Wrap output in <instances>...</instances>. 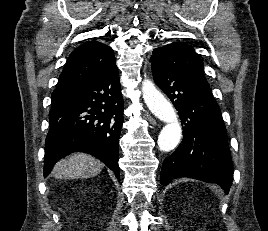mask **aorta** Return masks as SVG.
<instances>
[{
  "mask_svg": "<svg viewBox=\"0 0 268 231\" xmlns=\"http://www.w3.org/2000/svg\"><path fill=\"white\" fill-rule=\"evenodd\" d=\"M144 101L149 110L166 125L161 130L158 137L160 150L169 152L179 143L181 138V126L176 112L171 103L160 93L153 82L145 79L142 83Z\"/></svg>",
  "mask_w": 268,
  "mask_h": 231,
  "instance_id": "1",
  "label": "aorta"
}]
</instances>
